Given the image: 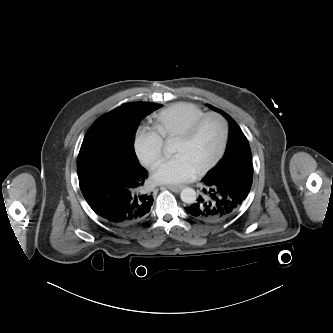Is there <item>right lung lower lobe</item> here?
Returning <instances> with one entry per match:
<instances>
[{"label": "right lung lower lobe", "instance_id": "1", "mask_svg": "<svg viewBox=\"0 0 333 333\" xmlns=\"http://www.w3.org/2000/svg\"><path fill=\"white\" fill-rule=\"evenodd\" d=\"M81 192L92 210L111 224L128 226L143 220L153 204L142 192L148 174L121 163L77 161Z\"/></svg>", "mask_w": 333, "mask_h": 333}]
</instances>
